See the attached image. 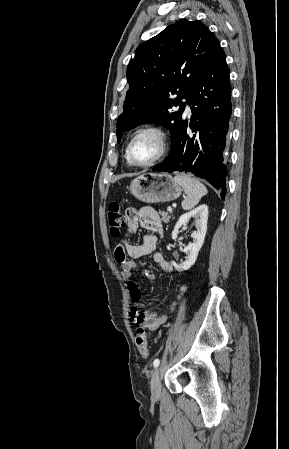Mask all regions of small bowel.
<instances>
[{
    "label": "small bowel",
    "mask_w": 289,
    "mask_h": 449,
    "mask_svg": "<svg viewBox=\"0 0 289 449\" xmlns=\"http://www.w3.org/2000/svg\"><path fill=\"white\" fill-rule=\"evenodd\" d=\"M145 225L150 228L151 233L146 234L139 244L131 243L126 238L123 244L116 246L114 250L115 260L121 265V275L124 279H131L137 266L135 259L152 254L156 265L165 272H171L173 267L171 263L161 254L156 252V247L159 238L163 235V226L159 214L151 207H144L140 210H127V237L135 233L140 225ZM143 276L148 280H154L155 274L150 269L142 271ZM186 287L183 285L180 290L179 297L185 291ZM176 305V301L172 304L171 309ZM130 320L147 328L150 331L157 330L166 322V315H161L158 312H150L142 310L139 307L133 306L129 312Z\"/></svg>",
    "instance_id": "1"
}]
</instances>
